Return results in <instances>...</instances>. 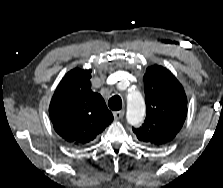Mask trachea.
<instances>
[{
	"instance_id": "trachea-1",
	"label": "trachea",
	"mask_w": 223,
	"mask_h": 188,
	"mask_svg": "<svg viewBox=\"0 0 223 188\" xmlns=\"http://www.w3.org/2000/svg\"><path fill=\"white\" fill-rule=\"evenodd\" d=\"M108 106L113 111H118L122 107L121 97L118 95L112 96L108 101Z\"/></svg>"
}]
</instances>
